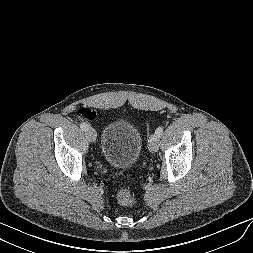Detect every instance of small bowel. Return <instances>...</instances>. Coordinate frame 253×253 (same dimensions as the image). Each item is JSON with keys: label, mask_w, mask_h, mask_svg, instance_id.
Here are the masks:
<instances>
[{"label": "small bowel", "mask_w": 253, "mask_h": 253, "mask_svg": "<svg viewBox=\"0 0 253 253\" xmlns=\"http://www.w3.org/2000/svg\"><path fill=\"white\" fill-rule=\"evenodd\" d=\"M94 118H95V113H94V116H93V118H92V119H94ZM92 119H91V120H92Z\"/></svg>", "instance_id": "1"}]
</instances>
